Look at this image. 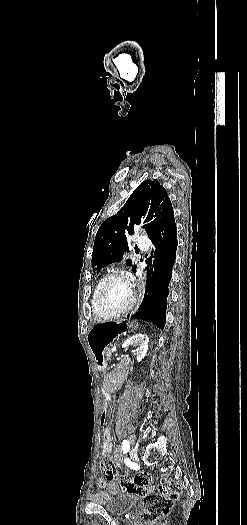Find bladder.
Listing matches in <instances>:
<instances>
[{
  "mask_svg": "<svg viewBox=\"0 0 247 525\" xmlns=\"http://www.w3.org/2000/svg\"><path fill=\"white\" fill-rule=\"evenodd\" d=\"M102 498L101 506L112 516L126 515L130 510L140 507L138 497L120 493L116 496L99 494ZM98 502V501H97Z\"/></svg>",
  "mask_w": 247,
  "mask_h": 525,
  "instance_id": "31cf9c89",
  "label": "bladder"
}]
</instances>
